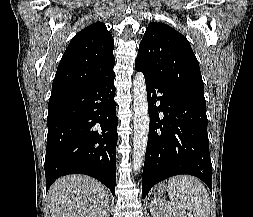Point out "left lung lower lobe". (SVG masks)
I'll list each match as a JSON object with an SVG mask.
<instances>
[{"mask_svg":"<svg viewBox=\"0 0 253 217\" xmlns=\"http://www.w3.org/2000/svg\"><path fill=\"white\" fill-rule=\"evenodd\" d=\"M135 68L145 76L150 114L142 197L156 183L178 174L200 178L212 192L205 99L162 83L137 62Z\"/></svg>","mask_w":253,"mask_h":217,"instance_id":"1","label":"left lung lower lobe"}]
</instances>
